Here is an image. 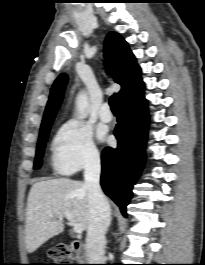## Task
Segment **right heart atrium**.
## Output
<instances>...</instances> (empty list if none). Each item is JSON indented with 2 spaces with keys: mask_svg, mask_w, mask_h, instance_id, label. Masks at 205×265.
<instances>
[{
  "mask_svg": "<svg viewBox=\"0 0 205 265\" xmlns=\"http://www.w3.org/2000/svg\"><path fill=\"white\" fill-rule=\"evenodd\" d=\"M52 148V165L60 174L71 175L100 161L91 129L76 119L59 128Z\"/></svg>",
  "mask_w": 205,
  "mask_h": 265,
  "instance_id": "1",
  "label": "right heart atrium"
}]
</instances>
